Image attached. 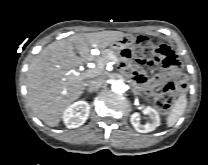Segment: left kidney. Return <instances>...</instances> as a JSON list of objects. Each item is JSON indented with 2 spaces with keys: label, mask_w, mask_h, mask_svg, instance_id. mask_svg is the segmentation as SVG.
Listing matches in <instances>:
<instances>
[{
  "label": "left kidney",
  "mask_w": 208,
  "mask_h": 165,
  "mask_svg": "<svg viewBox=\"0 0 208 165\" xmlns=\"http://www.w3.org/2000/svg\"><path fill=\"white\" fill-rule=\"evenodd\" d=\"M144 114L149 116L151 120L149 123L141 124L139 119L140 115L137 112H134L131 115L130 122L137 132L148 133L160 126V117L158 112L154 108L147 106L144 109Z\"/></svg>",
  "instance_id": "5707ae66"
}]
</instances>
